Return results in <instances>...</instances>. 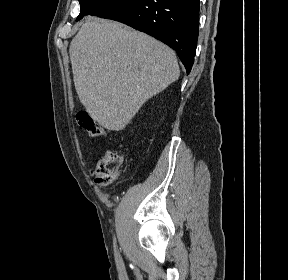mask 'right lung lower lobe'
Returning <instances> with one entry per match:
<instances>
[{"mask_svg": "<svg viewBox=\"0 0 288 280\" xmlns=\"http://www.w3.org/2000/svg\"><path fill=\"white\" fill-rule=\"evenodd\" d=\"M90 15L147 33L176 51L191 71L198 39L199 0H111Z\"/></svg>", "mask_w": 288, "mask_h": 280, "instance_id": "98d812e1", "label": "right lung lower lobe"}]
</instances>
